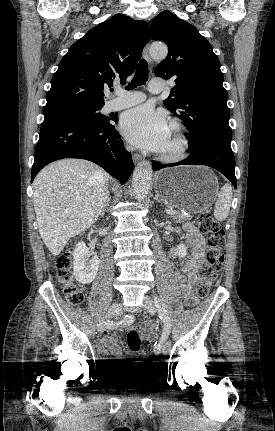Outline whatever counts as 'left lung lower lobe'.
I'll list each match as a JSON object with an SVG mask.
<instances>
[{"instance_id": "obj_1", "label": "left lung lower lobe", "mask_w": 275, "mask_h": 431, "mask_svg": "<svg viewBox=\"0 0 275 431\" xmlns=\"http://www.w3.org/2000/svg\"><path fill=\"white\" fill-rule=\"evenodd\" d=\"M229 140H202L189 146L191 154L183 161L174 164H160L153 161L152 167L158 170L176 165H206L224 174L236 188L235 158Z\"/></svg>"}]
</instances>
